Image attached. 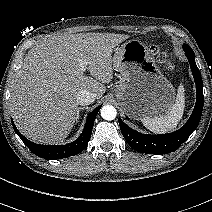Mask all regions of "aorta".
I'll return each instance as SVG.
<instances>
[{
  "mask_svg": "<svg viewBox=\"0 0 212 212\" xmlns=\"http://www.w3.org/2000/svg\"><path fill=\"white\" fill-rule=\"evenodd\" d=\"M101 116L107 121L114 120L117 116V111L112 105H105L101 108Z\"/></svg>",
  "mask_w": 212,
  "mask_h": 212,
  "instance_id": "762f6f07",
  "label": "aorta"
}]
</instances>
